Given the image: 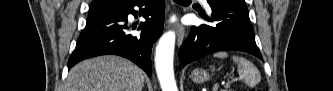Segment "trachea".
Masks as SVG:
<instances>
[{"mask_svg": "<svg viewBox=\"0 0 333 91\" xmlns=\"http://www.w3.org/2000/svg\"><path fill=\"white\" fill-rule=\"evenodd\" d=\"M177 3H187L190 2V0H176Z\"/></svg>", "mask_w": 333, "mask_h": 91, "instance_id": "trachea-1", "label": "trachea"}]
</instances>
